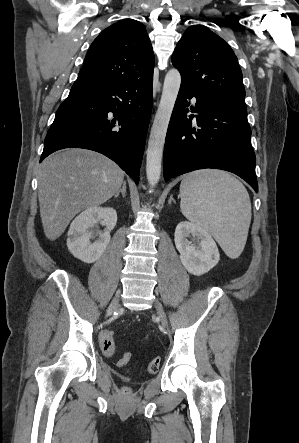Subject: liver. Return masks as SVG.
Instances as JSON below:
<instances>
[{"label": "liver", "mask_w": 299, "mask_h": 443, "mask_svg": "<svg viewBox=\"0 0 299 443\" xmlns=\"http://www.w3.org/2000/svg\"><path fill=\"white\" fill-rule=\"evenodd\" d=\"M124 171L106 156L73 148L48 156L38 170V199L45 236L56 240L80 211L116 194Z\"/></svg>", "instance_id": "liver-1"}]
</instances>
